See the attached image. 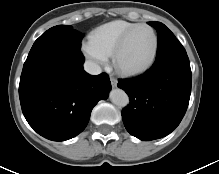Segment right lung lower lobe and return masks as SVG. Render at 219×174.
I'll return each instance as SVG.
<instances>
[{
    "label": "right lung lower lobe",
    "instance_id": "right-lung-lower-lobe-1",
    "mask_svg": "<svg viewBox=\"0 0 219 174\" xmlns=\"http://www.w3.org/2000/svg\"><path fill=\"white\" fill-rule=\"evenodd\" d=\"M78 49L55 48L24 63L19 98L24 117L41 136L65 141L88 124L93 107L111 89L107 74H87Z\"/></svg>",
    "mask_w": 219,
    "mask_h": 174
}]
</instances>
